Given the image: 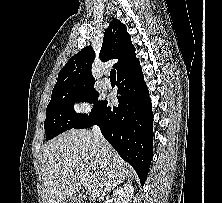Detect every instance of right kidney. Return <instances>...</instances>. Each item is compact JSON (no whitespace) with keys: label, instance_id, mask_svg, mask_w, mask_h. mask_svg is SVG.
Here are the masks:
<instances>
[{"label":"right kidney","instance_id":"1","mask_svg":"<svg viewBox=\"0 0 222 203\" xmlns=\"http://www.w3.org/2000/svg\"><path fill=\"white\" fill-rule=\"evenodd\" d=\"M133 193L134 187L132 184H125L119 187L113 192V203H131Z\"/></svg>","mask_w":222,"mask_h":203}]
</instances>
